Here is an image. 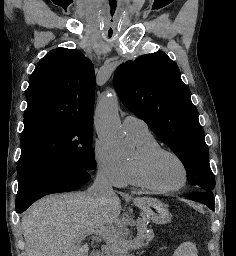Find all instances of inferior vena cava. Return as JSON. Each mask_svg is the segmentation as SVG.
Listing matches in <instances>:
<instances>
[{"label": "inferior vena cava", "mask_w": 236, "mask_h": 256, "mask_svg": "<svg viewBox=\"0 0 236 256\" xmlns=\"http://www.w3.org/2000/svg\"><path fill=\"white\" fill-rule=\"evenodd\" d=\"M89 192L94 198H97V200H103V198H107V196H112V194H114L108 170L99 168L94 184L89 188Z\"/></svg>", "instance_id": "1"}]
</instances>
